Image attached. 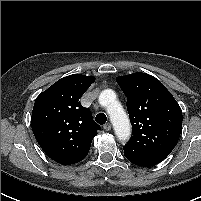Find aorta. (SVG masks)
<instances>
[{"mask_svg": "<svg viewBox=\"0 0 201 201\" xmlns=\"http://www.w3.org/2000/svg\"><path fill=\"white\" fill-rule=\"evenodd\" d=\"M99 102L108 108L110 120L117 137L120 140H126L131 131L130 122L121 104L117 101L115 92L111 89L102 91L99 95Z\"/></svg>", "mask_w": 201, "mask_h": 201, "instance_id": "aorta-1", "label": "aorta"}]
</instances>
